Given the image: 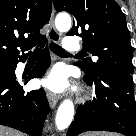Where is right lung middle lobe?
Here are the masks:
<instances>
[{
    "label": "right lung middle lobe",
    "mask_w": 136,
    "mask_h": 136,
    "mask_svg": "<svg viewBox=\"0 0 136 136\" xmlns=\"http://www.w3.org/2000/svg\"><path fill=\"white\" fill-rule=\"evenodd\" d=\"M14 68V64H0V77H6L11 75V70Z\"/></svg>",
    "instance_id": "right-lung-middle-lobe-1"
}]
</instances>
